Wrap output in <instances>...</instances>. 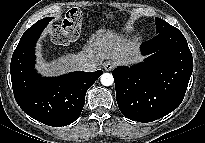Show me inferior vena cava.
<instances>
[{
	"label": "inferior vena cava",
	"mask_w": 205,
	"mask_h": 143,
	"mask_svg": "<svg viewBox=\"0 0 205 143\" xmlns=\"http://www.w3.org/2000/svg\"><path fill=\"white\" fill-rule=\"evenodd\" d=\"M80 64H81L82 71L92 72L97 69V64L92 60L82 59L80 61Z\"/></svg>",
	"instance_id": "obj_1"
}]
</instances>
